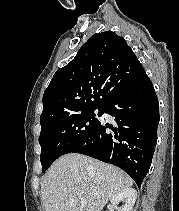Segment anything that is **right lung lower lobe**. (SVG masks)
Masks as SVG:
<instances>
[{
    "label": "right lung lower lobe",
    "instance_id": "1",
    "mask_svg": "<svg viewBox=\"0 0 179 211\" xmlns=\"http://www.w3.org/2000/svg\"><path fill=\"white\" fill-rule=\"evenodd\" d=\"M103 113L113 116L117 127L102 120L89 140L72 153L115 165L140 187L152 162L159 124V102L147 74L113 97Z\"/></svg>",
    "mask_w": 179,
    "mask_h": 211
}]
</instances>
